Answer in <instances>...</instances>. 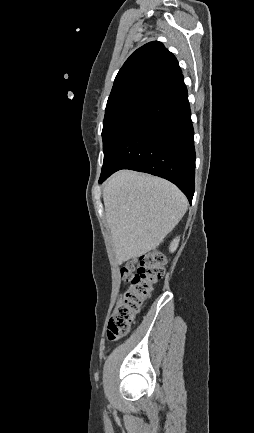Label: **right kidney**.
<instances>
[{
	"label": "right kidney",
	"instance_id": "obj_1",
	"mask_svg": "<svg viewBox=\"0 0 254 433\" xmlns=\"http://www.w3.org/2000/svg\"><path fill=\"white\" fill-rule=\"evenodd\" d=\"M179 240H180V238L177 237L171 242L170 248H169L171 252H174L177 249L178 244H179Z\"/></svg>",
	"mask_w": 254,
	"mask_h": 433
}]
</instances>
